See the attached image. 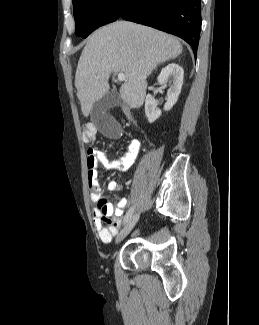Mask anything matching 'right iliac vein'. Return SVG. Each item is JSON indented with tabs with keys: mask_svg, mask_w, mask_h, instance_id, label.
<instances>
[{
	"mask_svg": "<svg viewBox=\"0 0 259 325\" xmlns=\"http://www.w3.org/2000/svg\"><path fill=\"white\" fill-rule=\"evenodd\" d=\"M139 219V213L134 214L129 221L126 223V225L123 227V229L120 231V233L116 237V243L118 244L121 242L134 228L137 221Z\"/></svg>",
	"mask_w": 259,
	"mask_h": 325,
	"instance_id": "63e3f726",
	"label": "right iliac vein"
}]
</instances>
